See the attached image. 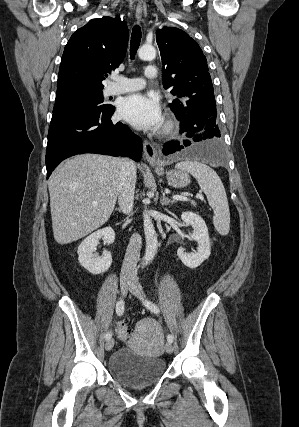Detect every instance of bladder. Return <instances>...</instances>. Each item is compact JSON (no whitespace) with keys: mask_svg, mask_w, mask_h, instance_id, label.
<instances>
[{"mask_svg":"<svg viewBox=\"0 0 299 427\" xmlns=\"http://www.w3.org/2000/svg\"><path fill=\"white\" fill-rule=\"evenodd\" d=\"M166 372L160 356L139 355L128 347H121L110 357L109 375L119 384L139 388L158 382Z\"/></svg>","mask_w":299,"mask_h":427,"instance_id":"1","label":"bladder"}]
</instances>
